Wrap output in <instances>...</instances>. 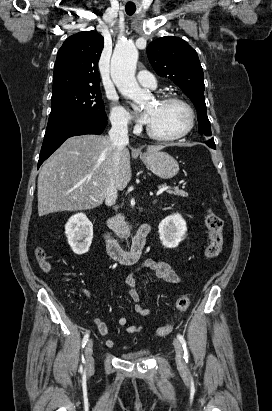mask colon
<instances>
[{"label":"colon","mask_w":272,"mask_h":411,"mask_svg":"<svg viewBox=\"0 0 272 411\" xmlns=\"http://www.w3.org/2000/svg\"><path fill=\"white\" fill-rule=\"evenodd\" d=\"M205 223L209 234V243L204 252L206 259H213L219 255L224 244L223 235V220L215 214L212 210L207 209L205 214ZM37 259L40 262L41 267L44 270L49 269V263L46 259V255L43 249L37 250ZM191 298L189 295H182L176 302V310L179 315L183 314L189 307ZM173 324H167L157 327L155 335L157 337H165L173 330Z\"/></svg>","instance_id":"5ec220e1"}]
</instances>
